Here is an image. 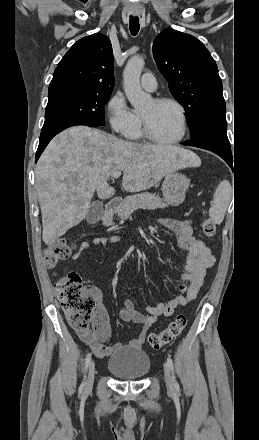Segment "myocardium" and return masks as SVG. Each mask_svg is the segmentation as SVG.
Masks as SVG:
<instances>
[{
	"instance_id": "obj_1",
	"label": "myocardium",
	"mask_w": 259,
	"mask_h": 440,
	"mask_svg": "<svg viewBox=\"0 0 259 440\" xmlns=\"http://www.w3.org/2000/svg\"><path fill=\"white\" fill-rule=\"evenodd\" d=\"M153 102L158 105L172 104L178 109L179 115H180V120H181V132L176 138L169 139V140L161 139L154 134V132L152 131V129L150 127L148 120L143 115H141L140 118H141V122H142V130H143V133L146 136V138L154 143L162 144V145H172V144H176V143L182 141L184 139V137L186 136L187 130H188L187 115H186V111H185V108L182 105V103L179 102L178 100H176L174 98H170V97L156 98L153 100Z\"/></svg>"
}]
</instances>
